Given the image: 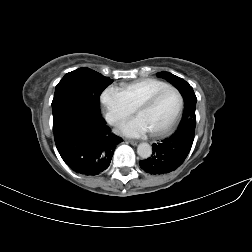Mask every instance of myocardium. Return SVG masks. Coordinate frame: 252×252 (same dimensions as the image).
I'll return each instance as SVG.
<instances>
[{
    "label": "myocardium",
    "mask_w": 252,
    "mask_h": 252,
    "mask_svg": "<svg viewBox=\"0 0 252 252\" xmlns=\"http://www.w3.org/2000/svg\"><path fill=\"white\" fill-rule=\"evenodd\" d=\"M167 91H173L177 94L178 99H179L178 107H177L175 113L173 114L172 118L170 119V121L163 128L158 129V130H154V131H149L150 134L154 137L161 136V135L168 133L173 128L175 123L177 122V120L181 114V111L183 109V106H184V98H183L182 93L177 88L172 87V86H168L166 88L160 89V90L156 91L155 93L151 94L149 97H147L142 102H140L135 108V112L137 114V112L140 109L149 107L150 105H152L155 102V100L160 95H162L163 93H165Z\"/></svg>",
    "instance_id": "f54148a6"
}]
</instances>
